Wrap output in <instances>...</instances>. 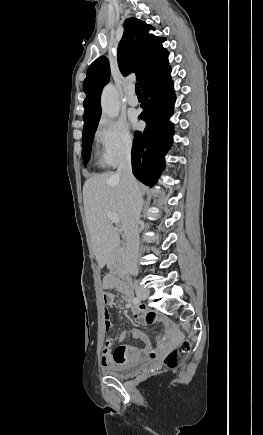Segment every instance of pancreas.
<instances>
[{
    "label": "pancreas",
    "instance_id": "cf45deb5",
    "mask_svg": "<svg viewBox=\"0 0 263 435\" xmlns=\"http://www.w3.org/2000/svg\"><path fill=\"white\" fill-rule=\"evenodd\" d=\"M109 265L120 273L124 269V250L122 247H117L109 257Z\"/></svg>",
    "mask_w": 263,
    "mask_h": 435
}]
</instances>
